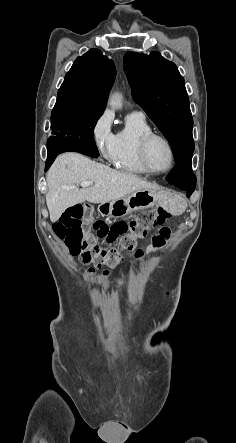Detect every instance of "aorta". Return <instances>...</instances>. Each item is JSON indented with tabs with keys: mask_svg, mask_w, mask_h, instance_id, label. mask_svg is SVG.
Returning a JSON list of instances; mask_svg holds the SVG:
<instances>
[{
	"mask_svg": "<svg viewBox=\"0 0 236 443\" xmlns=\"http://www.w3.org/2000/svg\"><path fill=\"white\" fill-rule=\"evenodd\" d=\"M109 103H110V105L113 108L120 107L121 106V97H120V95L119 94L112 95V97L110 98Z\"/></svg>",
	"mask_w": 236,
	"mask_h": 443,
	"instance_id": "762f6f07",
	"label": "aorta"
}]
</instances>
